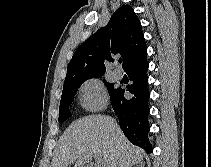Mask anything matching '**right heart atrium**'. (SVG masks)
<instances>
[{"instance_id": "1", "label": "right heart atrium", "mask_w": 211, "mask_h": 167, "mask_svg": "<svg viewBox=\"0 0 211 167\" xmlns=\"http://www.w3.org/2000/svg\"><path fill=\"white\" fill-rule=\"evenodd\" d=\"M80 101L87 110H99L106 103V93L99 79L86 80L80 87Z\"/></svg>"}]
</instances>
